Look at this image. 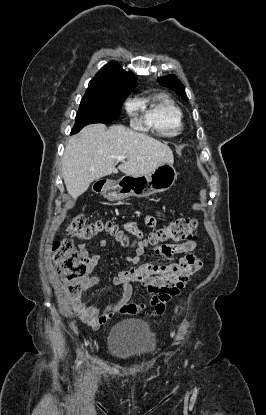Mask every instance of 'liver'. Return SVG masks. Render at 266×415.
Instances as JSON below:
<instances>
[{
  "label": "liver",
  "mask_w": 266,
  "mask_h": 415,
  "mask_svg": "<svg viewBox=\"0 0 266 415\" xmlns=\"http://www.w3.org/2000/svg\"><path fill=\"white\" fill-rule=\"evenodd\" d=\"M120 155L126 160L118 169L133 176L147 175L174 162L172 150L146 134L123 125H87L65 147L62 176L68 194L76 199L93 181L117 173L114 162Z\"/></svg>",
  "instance_id": "liver-1"
}]
</instances>
